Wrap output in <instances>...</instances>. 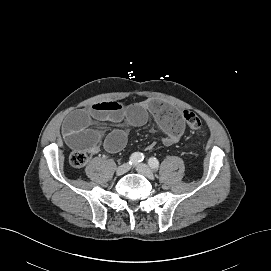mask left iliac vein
Listing matches in <instances>:
<instances>
[{
    "instance_id": "left-iliac-vein-1",
    "label": "left iliac vein",
    "mask_w": 271,
    "mask_h": 271,
    "mask_svg": "<svg viewBox=\"0 0 271 271\" xmlns=\"http://www.w3.org/2000/svg\"><path fill=\"white\" fill-rule=\"evenodd\" d=\"M136 170L140 173L146 176L149 179H154V173L153 171L146 165V164H138L136 166Z\"/></svg>"
}]
</instances>
